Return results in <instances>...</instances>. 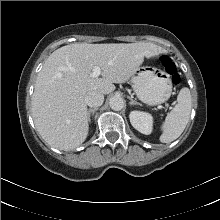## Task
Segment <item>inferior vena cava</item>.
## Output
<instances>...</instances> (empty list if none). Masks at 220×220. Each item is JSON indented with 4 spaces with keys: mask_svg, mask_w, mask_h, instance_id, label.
Here are the masks:
<instances>
[{
    "mask_svg": "<svg viewBox=\"0 0 220 220\" xmlns=\"http://www.w3.org/2000/svg\"><path fill=\"white\" fill-rule=\"evenodd\" d=\"M104 102V95L98 91H90L85 97V103L89 107H99Z\"/></svg>",
    "mask_w": 220,
    "mask_h": 220,
    "instance_id": "inferior-vena-cava-1",
    "label": "inferior vena cava"
}]
</instances>
